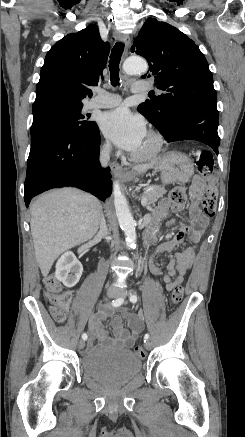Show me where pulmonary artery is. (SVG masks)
<instances>
[{
	"label": "pulmonary artery",
	"instance_id": "1",
	"mask_svg": "<svg viewBox=\"0 0 245 437\" xmlns=\"http://www.w3.org/2000/svg\"><path fill=\"white\" fill-rule=\"evenodd\" d=\"M151 89L152 85L145 81H138L132 85V91L134 93L147 92ZM120 103L121 97L119 95L98 89L97 96L89 102L88 107L90 109L112 108Z\"/></svg>",
	"mask_w": 245,
	"mask_h": 437
}]
</instances>
